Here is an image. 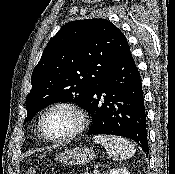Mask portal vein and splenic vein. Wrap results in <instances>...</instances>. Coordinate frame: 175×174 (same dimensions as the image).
I'll list each match as a JSON object with an SVG mask.
<instances>
[{
    "label": "portal vein and splenic vein",
    "mask_w": 175,
    "mask_h": 174,
    "mask_svg": "<svg viewBox=\"0 0 175 174\" xmlns=\"http://www.w3.org/2000/svg\"><path fill=\"white\" fill-rule=\"evenodd\" d=\"M94 174H98L99 173V170L97 167H95L94 171H93Z\"/></svg>",
    "instance_id": "18ae733b"
}]
</instances>
